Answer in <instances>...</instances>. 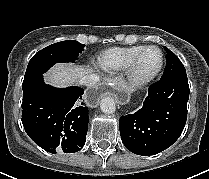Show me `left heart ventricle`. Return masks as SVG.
Listing matches in <instances>:
<instances>
[{"mask_svg":"<svg viewBox=\"0 0 209 179\" xmlns=\"http://www.w3.org/2000/svg\"><path fill=\"white\" fill-rule=\"evenodd\" d=\"M161 61L160 53L157 49H149L143 53L138 64L137 74L146 76L157 70Z\"/></svg>","mask_w":209,"mask_h":179,"instance_id":"obj_1","label":"left heart ventricle"}]
</instances>
